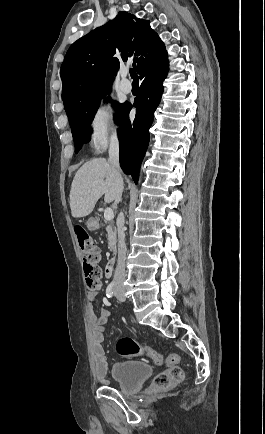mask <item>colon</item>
Instances as JSON below:
<instances>
[{
	"label": "colon",
	"mask_w": 265,
	"mask_h": 434,
	"mask_svg": "<svg viewBox=\"0 0 265 434\" xmlns=\"http://www.w3.org/2000/svg\"><path fill=\"white\" fill-rule=\"evenodd\" d=\"M73 231L77 238L80 254L83 260L86 286L91 291H98L101 287V269L98 265L100 260L99 248L94 243L85 226L75 225ZM116 351L120 356H137L145 354V349L130 336H125L119 339L116 343ZM152 357L156 363L168 366L165 371L154 377L151 386L152 390L168 391L183 380L184 372L182 368L176 365L179 361L177 356L164 357L161 354L154 353Z\"/></svg>",
	"instance_id": "colon-1"
}]
</instances>
